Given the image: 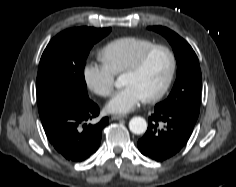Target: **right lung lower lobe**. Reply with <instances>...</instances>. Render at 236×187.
Listing matches in <instances>:
<instances>
[{
    "instance_id": "98d812e1",
    "label": "right lung lower lobe",
    "mask_w": 236,
    "mask_h": 187,
    "mask_svg": "<svg viewBox=\"0 0 236 187\" xmlns=\"http://www.w3.org/2000/svg\"><path fill=\"white\" fill-rule=\"evenodd\" d=\"M99 115V107L88 98L60 104L50 118L42 123L55 150L66 160L82 162L94 154L101 141L104 117L97 124H86Z\"/></svg>"
}]
</instances>
